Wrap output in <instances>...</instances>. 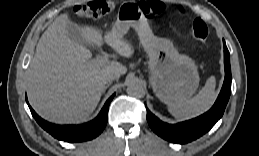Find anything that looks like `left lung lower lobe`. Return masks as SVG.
<instances>
[{"label":"left lung lower lobe","instance_id":"0a47b994","mask_svg":"<svg viewBox=\"0 0 259 156\" xmlns=\"http://www.w3.org/2000/svg\"><path fill=\"white\" fill-rule=\"evenodd\" d=\"M223 43L225 79L220 94L212 108L197 118L178 124L164 123L147 109L148 124L157 135L173 143H188L208 132L222 117L231 94L232 79L229 51L224 40Z\"/></svg>","mask_w":259,"mask_h":156}]
</instances>
